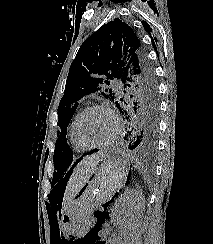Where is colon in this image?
<instances>
[{"label": "colon", "mask_w": 213, "mask_h": 244, "mask_svg": "<svg viewBox=\"0 0 213 244\" xmlns=\"http://www.w3.org/2000/svg\"><path fill=\"white\" fill-rule=\"evenodd\" d=\"M97 244H105L104 242H98Z\"/></svg>", "instance_id": "1"}]
</instances>
